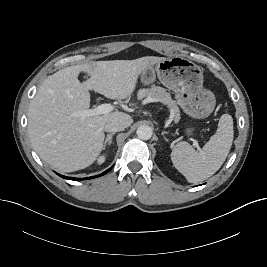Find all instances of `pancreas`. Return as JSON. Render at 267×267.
<instances>
[{
    "label": "pancreas",
    "mask_w": 267,
    "mask_h": 267,
    "mask_svg": "<svg viewBox=\"0 0 267 267\" xmlns=\"http://www.w3.org/2000/svg\"><path fill=\"white\" fill-rule=\"evenodd\" d=\"M137 97L139 100L143 98L159 101L168 106L171 112V117L175 121L180 120V110L176 102L171 98L170 93L160 86H152L151 88L140 89Z\"/></svg>",
    "instance_id": "pancreas-1"
}]
</instances>
